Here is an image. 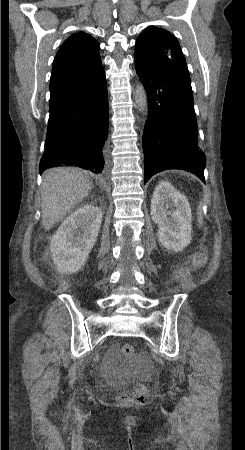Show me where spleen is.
I'll list each match as a JSON object with an SVG mask.
<instances>
[{
  "label": "spleen",
  "mask_w": 245,
  "mask_h": 450,
  "mask_svg": "<svg viewBox=\"0 0 245 450\" xmlns=\"http://www.w3.org/2000/svg\"><path fill=\"white\" fill-rule=\"evenodd\" d=\"M199 222H200V223L202 222V217H201V216L199 217Z\"/></svg>",
  "instance_id": "3e777b00"
}]
</instances>
